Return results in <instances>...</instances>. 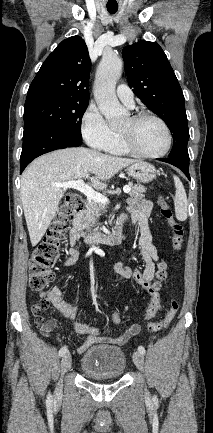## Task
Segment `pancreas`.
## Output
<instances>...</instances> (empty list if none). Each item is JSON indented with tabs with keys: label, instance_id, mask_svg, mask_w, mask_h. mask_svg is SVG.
I'll return each mask as SVG.
<instances>
[{
	"label": "pancreas",
	"instance_id": "obj_1",
	"mask_svg": "<svg viewBox=\"0 0 213 433\" xmlns=\"http://www.w3.org/2000/svg\"><path fill=\"white\" fill-rule=\"evenodd\" d=\"M131 191L129 195L131 197H144V192L146 191V188L143 185L138 184H129ZM105 211V207L97 202L90 203L85 210H82L79 214V217L81 218L82 225L84 229L86 230V233H88L92 237L98 236V228L96 227V221L97 219L102 215V213Z\"/></svg>",
	"mask_w": 213,
	"mask_h": 433
}]
</instances>
